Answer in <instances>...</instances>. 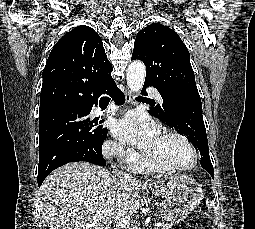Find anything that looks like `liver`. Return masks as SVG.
Listing matches in <instances>:
<instances>
[{
  "label": "liver",
  "mask_w": 255,
  "mask_h": 229,
  "mask_svg": "<svg viewBox=\"0 0 255 229\" xmlns=\"http://www.w3.org/2000/svg\"><path fill=\"white\" fill-rule=\"evenodd\" d=\"M142 181L110 174L88 162L54 170L39 189L41 214L50 229H110L111 214L129 218L142 205Z\"/></svg>",
  "instance_id": "obj_1"
}]
</instances>
